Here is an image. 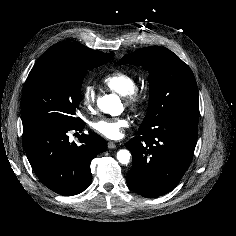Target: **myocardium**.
Here are the masks:
<instances>
[{"mask_svg":"<svg viewBox=\"0 0 236 236\" xmlns=\"http://www.w3.org/2000/svg\"><path fill=\"white\" fill-rule=\"evenodd\" d=\"M148 99V93L143 88L135 87L130 93L124 96L125 103L132 110L142 108Z\"/></svg>","mask_w":236,"mask_h":236,"instance_id":"f54148a6","label":"myocardium"}]
</instances>
